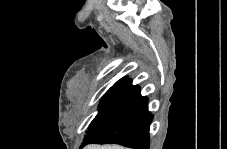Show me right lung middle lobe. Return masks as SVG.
Segmentation results:
<instances>
[{"label":"right lung middle lobe","instance_id":"1","mask_svg":"<svg viewBox=\"0 0 227 149\" xmlns=\"http://www.w3.org/2000/svg\"><path fill=\"white\" fill-rule=\"evenodd\" d=\"M139 93L138 89L110 88L100 101L99 112L86 131L81 147L85 145L92 132L122 114Z\"/></svg>","mask_w":227,"mask_h":149}]
</instances>
